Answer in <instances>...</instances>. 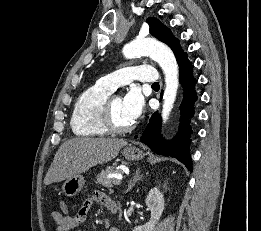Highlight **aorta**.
Segmentation results:
<instances>
[{"label": "aorta", "mask_w": 261, "mask_h": 231, "mask_svg": "<svg viewBox=\"0 0 261 231\" xmlns=\"http://www.w3.org/2000/svg\"><path fill=\"white\" fill-rule=\"evenodd\" d=\"M123 54L128 59L147 55L162 68L165 75L162 119L165 123L174 106L179 83L178 65L173 52L162 43L136 39L123 48Z\"/></svg>", "instance_id": "1"}]
</instances>
